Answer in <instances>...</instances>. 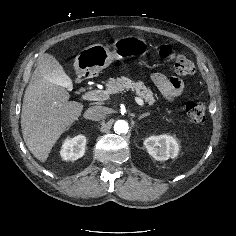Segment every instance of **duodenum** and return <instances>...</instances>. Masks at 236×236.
Instances as JSON below:
<instances>
[{"label":"duodenum","instance_id":"1","mask_svg":"<svg viewBox=\"0 0 236 236\" xmlns=\"http://www.w3.org/2000/svg\"><path fill=\"white\" fill-rule=\"evenodd\" d=\"M78 83H79V84L82 83V79H78Z\"/></svg>","mask_w":236,"mask_h":236}]
</instances>
